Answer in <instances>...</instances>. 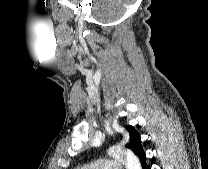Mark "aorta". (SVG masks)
<instances>
[{
    "label": "aorta",
    "mask_w": 208,
    "mask_h": 169,
    "mask_svg": "<svg viewBox=\"0 0 208 169\" xmlns=\"http://www.w3.org/2000/svg\"><path fill=\"white\" fill-rule=\"evenodd\" d=\"M108 155L122 161L127 169H141L139 159L130 150L114 146L109 148Z\"/></svg>",
    "instance_id": "aorta-1"
}]
</instances>
